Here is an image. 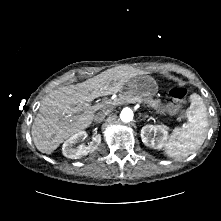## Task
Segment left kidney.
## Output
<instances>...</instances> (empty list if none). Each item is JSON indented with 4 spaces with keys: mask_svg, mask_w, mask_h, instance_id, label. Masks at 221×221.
Returning <instances> with one entry per match:
<instances>
[{
    "mask_svg": "<svg viewBox=\"0 0 221 221\" xmlns=\"http://www.w3.org/2000/svg\"><path fill=\"white\" fill-rule=\"evenodd\" d=\"M167 136V128L162 125H146L141 129L142 142L154 149H161L167 141Z\"/></svg>",
    "mask_w": 221,
    "mask_h": 221,
    "instance_id": "obj_1",
    "label": "left kidney"
}]
</instances>
